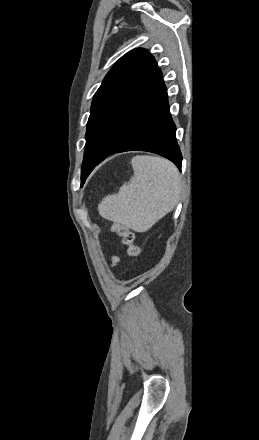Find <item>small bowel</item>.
Listing matches in <instances>:
<instances>
[{"label":"small bowel","instance_id":"small-bowel-1","mask_svg":"<svg viewBox=\"0 0 259 440\" xmlns=\"http://www.w3.org/2000/svg\"><path fill=\"white\" fill-rule=\"evenodd\" d=\"M118 261H119V259L116 256L112 257V264L113 265H116L118 263Z\"/></svg>","mask_w":259,"mask_h":440}]
</instances>
